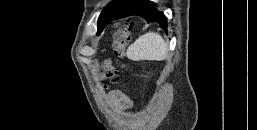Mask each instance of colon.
Here are the masks:
<instances>
[{"instance_id": "obj_1", "label": "colon", "mask_w": 257, "mask_h": 130, "mask_svg": "<svg viewBox=\"0 0 257 130\" xmlns=\"http://www.w3.org/2000/svg\"><path fill=\"white\" fill-rule=\"evenodd\" d=\"M131 37V29L130 28H124L123 30L119 31L113 41L112 49L113 53L116 56L117 64L122 65L121 60L126 55V48L130 41ZM109 78L112 82H116L118 80L116 75L110 74Z\"/></svg>"}]
</instances>
